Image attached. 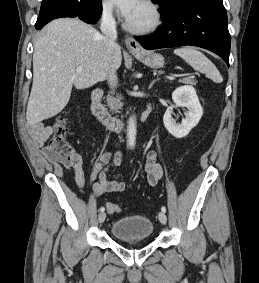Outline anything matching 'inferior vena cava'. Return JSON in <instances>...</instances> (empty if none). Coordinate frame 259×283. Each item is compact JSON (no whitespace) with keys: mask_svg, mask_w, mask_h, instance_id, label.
Segmentation results:
<instances>
[{"mask_svg":"<svg viewBox=\"0 0 259 283\" xmlns=\"http://www.w3.org/2000/svg\"><path fill=\"white\" fill-rule=\"evenodd\" d=\"M100 30L102 32V39L105 45L107 60L110 63V67L108 69V81L112 88L116 86L117 83V75L116 69L113 65V51L115 46V40L117 38V30L116 23L112 16V9L108 6L103 8L101 21H100Z\"/></svg>","mask_w":259,"mask_h":283,"instance_id":"602c4592","label":"inferior vena cava"}]
</instances>
